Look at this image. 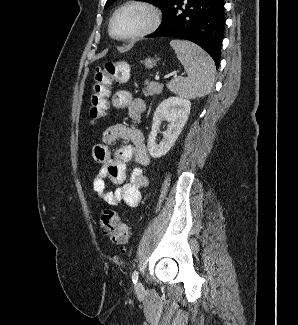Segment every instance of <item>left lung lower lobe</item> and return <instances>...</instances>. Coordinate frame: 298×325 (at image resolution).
<instances>
[{"label": "left lung lower lobe", "instance_id": "1", "mask_svg": "<svg viewBox=\"0 0 298 325\" xmlns=\"http://www.w3.org/2000/svg\"><path fill=\"white\" fill-rule=\"evenodd\" d=\"M223 0H172L161 26L147 37H176L202 47L219 66L225 28Z\"/></svg>", "mask_w": 298, "mask_h": 325}]
</instances>
